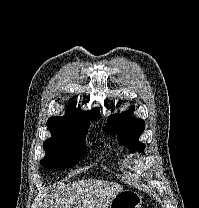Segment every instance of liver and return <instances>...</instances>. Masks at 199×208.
<instances>
[{"label":"liver","mask_w":199,"mask_h":208,"mask_svg":"<svg viewBox=\"0 0 199 208\" xmlns=\"http://www.w3.org/2000/svg\"><path fill=\"white\" fill-rule=\"evenodd\" d=\"M120 191L122 187L116 182L82 179L58 186L46 208H108Z\"/></svg>","instance_id":"liver-1"}]
</instances>
